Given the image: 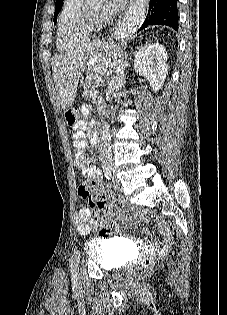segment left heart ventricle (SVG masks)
Returning <instances> with one entry per match:
<instances>
[{
    "instance_id": "left-heart-ventricle-1",
    "label": "left heart ventricle",
    "mask_w": 227,
    "mask_h": 315,
    "mask_svg": "<svg viewBox=\"0 0 227 315\" xmlns=\"http://www.w3.org/2000/svg\"><path fill=\"white\" fill-rule=\"evenodd\" d=\"M87 5L91 13L101 16L103 5L100 2H97L95 0H89Z\"/></svg>"
}]
</instances>
